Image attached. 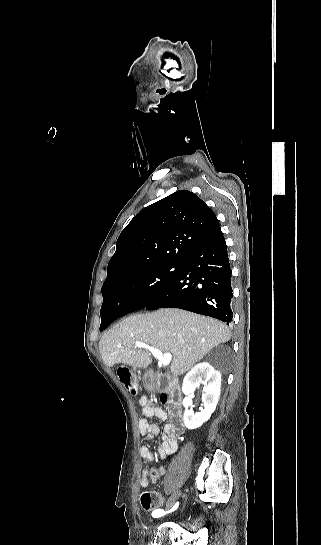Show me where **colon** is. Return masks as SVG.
Masks as SVG:
<instances>
[{"label": "colon", "instance_id": "colon-1", "mask_svg": "<svg viewBox=\"0 0 321 545\" xmlns=\"http://www.w3.org/2000/svg\"><path fill=\"white\" fill-rule=\"evenodd\" d=\"M117 374L127 391L132 395H136L137 382L133 373L127 368H120ZM140 503L144 510H157L163 505L164 499L153 491L145 490L140 494Z\"/></svg>", "mask_w": 321, "mask_h": 545}]
</instances>
